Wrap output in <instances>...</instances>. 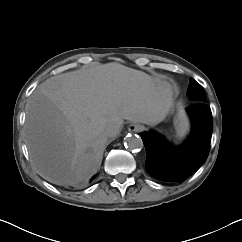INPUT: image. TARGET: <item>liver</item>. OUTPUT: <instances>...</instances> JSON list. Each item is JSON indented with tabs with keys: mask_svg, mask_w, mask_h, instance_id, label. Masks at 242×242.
<instances>
[{
	"mask_svg": "<svg viewBox=\"0 0 242 242\" xmlns=\"http://www.w3.org/2000/svg\"><path fill=\"white\" fill-rule=\"evenodd\" d=\"M170 83L111 62L53 76L30 96L25 138L40 176L76 186L94 175L110 137L123 121L157 125L173 112Z\"/></svg>",
	"mask_w": 242,
	"mask_h": 242,
	"instance_id": "6515ba94",
	"label": "liver"
}]
</instances>
